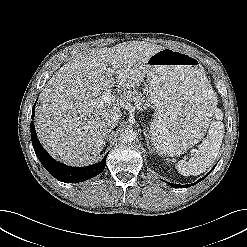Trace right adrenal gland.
<instances>
[{
	"label": "right adrenal gland",
	"mask_w": 247,
	"mask_h": 247,
	"mask_svg": "<svg viewBox=\"0 0 247 247\" xmlns=\"http://www.w3.org/2000/svg\"><path fill=\"white\" fill-rule=\"evenodd\" d=\"M111 132V129L108 130V134Z\"/></svg>",
	"instance_id": "1"
}]
</instances>
